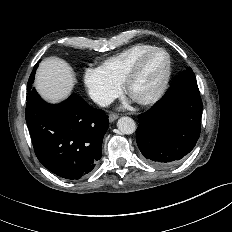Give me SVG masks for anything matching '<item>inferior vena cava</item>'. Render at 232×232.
I'll list each match as a JSON object with an SVG mask.
<instances>
[{"label": "inferior vena cava", "instance_id": "1", "mask_svg": "<svg viewBox=\"0 0 232 232\" xmlns=\"http://www.w3.org/2000/svg\"><path fill=\"white\" fill-rule=\"evenodd\" d=\"M94 101L98 105L105 107V106L110 105L113 102V99L107 95H97L94 97Z\"/></svg>", "mask_w": 232, "mask_h": 232}]
</instances>
